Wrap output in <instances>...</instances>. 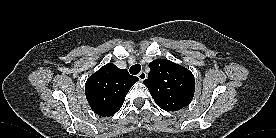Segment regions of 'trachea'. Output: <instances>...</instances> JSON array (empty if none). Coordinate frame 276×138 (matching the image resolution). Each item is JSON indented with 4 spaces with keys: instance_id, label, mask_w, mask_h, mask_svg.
Instances as JSON below:
<instances>
[{
    "instance_id": "obj_1",
    "label": "trachea",
    "mask_w": 276,
    "mask_h": 138,
    "mask_svg": "<svg viewBox=\"0 0 276 138\" xmlns=\"http://www.w3.org/2000/svg\"><path fill=\"white\" fill-rule=\"evenodd\" d=\"M140 70H141L140 64H135L130 67V73L132 75H137L140 72Z\"/></svg>"
}]
</instances>
